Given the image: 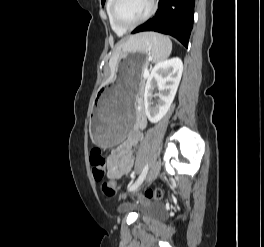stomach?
Segmentation results:
<instances>
[{
	"instance_id": "1",
	"label": "stomach",
	"mask_w": 264,
	"mask_h": 247,
	"mask_svg": "<svg viewBox=\"0 0 264 247\" xmlns=\"http://www.w3.org/2000/svg\"><path fill=\"white\" fill-rule=\"evenodd\" d=\"M124 51H130L129 47ZM123 62H145V54L129 53L128 57H123ZM143 68L145 63H118L113 82L100 86L90 122L91 137L96 145L117 147L118 142L126 141L133 128L136 113L133 103Z\"/></svg>"
}]
</instances>
